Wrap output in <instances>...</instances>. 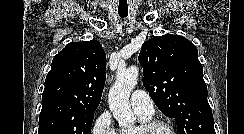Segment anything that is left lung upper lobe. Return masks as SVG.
Returning <instances> with one entry per match:
<instances>
[{
	"instance_id": "obj_1",
	"label": "left lung upper lobe",
	"mask_w": 244,
	"mask_h": 134,
	"mask_svg": "<svg viewBox=\"0 0 244 134\" xmlns=\"http://www.w3.org/2000/svg\"><path fill=\"white\" fill-rule=\"evenodd\" d=\"M143 85L180 134H216L196 46L180 35L146 41L139 54Z\"/></svg>"
}]
</instances>
